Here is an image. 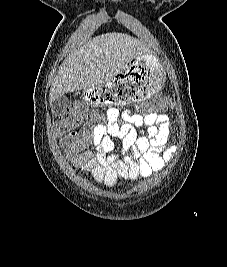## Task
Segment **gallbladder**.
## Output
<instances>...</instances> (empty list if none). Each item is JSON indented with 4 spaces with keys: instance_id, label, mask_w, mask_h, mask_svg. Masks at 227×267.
Segmentation results:
<instances>
[{
    "instance_id": "obj_1",
    "label": "gallbladder",
    "mask_w": 227,
    "mask_h": 267,
    "mask_svg": "<svg viewBox=\"0 0 227 267\" xmlns=\"http://www.w3.org/2000/svg\"><path fill=\"white\" fill-rule=\"evenodd\" d=\"M68 103H69V100L67 96L62 95L58 97L52 104L53 114L57 115L61 113L66 108Z\"/></svg>"
}]
</instances>
